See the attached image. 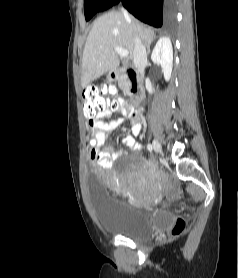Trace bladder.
<instances>
[{"instance_id": "1", "label": "bladder", "mask_w": 238, "mask_h": 278, "mask_svg": "<svg viewBox=\"0 0 238 278\" xmlns=\"http://www.w3.org/2000/svg\"><path fill=\"white\" fill-rule=\"evenodd\" d=\"M87 180H98V175H87ZM87 185L94 194L92 204L96 219L107 233L142 241L165 231L173 222L169 212L150 213L140 207L122 204L121 200L105 194V186H100V181H88Z\"/></svg>"}]
</instances>
